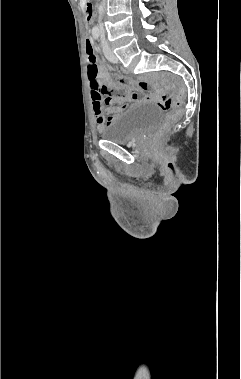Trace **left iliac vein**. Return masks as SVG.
I'll return each instance as SVG.
<instances>
[{
	"label": "left iliac vein",
	"mask_w": 241,
	"mask_h": 379,
	"mask_svg": "<svg viewBox=\"0 0 241 379\" xmlns=\"http://www.w3.org/2000/svg\"><path fill=\"white\" fill-rule=\"evenodd\" d=\"M103 51H104L106 58L109 61H111L113 63L118 62V58L116 57V55L113 53V51L110 49V47L106 43H103Z\"/></svg>",
	"instance_id": "4c4485c4"
}]
</instances>
